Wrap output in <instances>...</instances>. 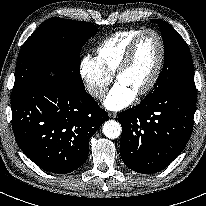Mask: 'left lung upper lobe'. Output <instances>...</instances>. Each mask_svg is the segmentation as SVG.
I'll list each match as a JSON object with an SVG mask.
<instances>
[{
	"label": "left lung upper lobe",
	"instance_id": "1",
	"mask_svg": "<svg viewBox=\"0 0 206 206\" xmlns=\"http://www.w3.org/2000/svg\"><path fill=\"white\" fill-rule=\"evenodd\" d=\"M151 21L160 27L165 47V62L156 85L144 99L177 88H195L194 68L188 45L169 23L160 19Z\"/></svg>",
	"mask_w": 206,
	"mask_h": 206
}]
</instances>
